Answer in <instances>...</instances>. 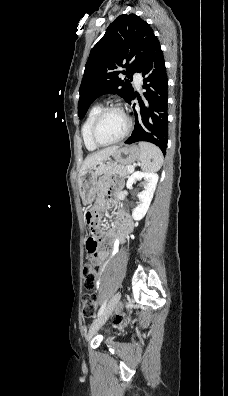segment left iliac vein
Wrapping results in <instances>:
<instances>
[{"instance_id": "obj_1", "label": "left iliac vein", "mask_w": 228, "mask_h": 396, "mask_svg": "<svg viewBox=\"0 0 228 396\" xmlns=\"http://www.w3.org/2000/svg\"><path fill=\"white\" fill-rule=\"evenodd\" d=\"M121 298V292H117L110 300L107 308L90 326L89 331L86 335V341L89 342L96 332L105 324L114 309L117 307Z\"/></svg>"}]
</instances>
